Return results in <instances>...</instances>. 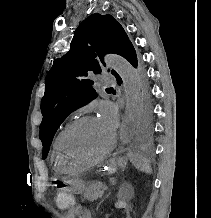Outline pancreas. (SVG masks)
<instances>
[{"instance_id":"obj_1","label":"pancreas","mask_w":211,"mask_h":218,"mask_svg":"<svg viewBox=\"0 0 211 218\" xmlns=\"http://www.w3.org/2000/svg\"><path fill=\"white\" fill-rule=\"evenodd\" d=\"M103 189V184H101V182L91 184L89 188H86L84 192V198H86V200H97V198H101Z\"/></svg>"}]
</instances>
